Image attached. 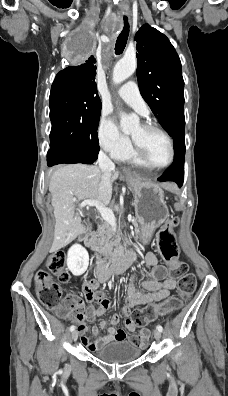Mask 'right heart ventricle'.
I'll return each mask as SVG.
<instances>
[{
  "mask_svg": "<svg viewBox=\"0 0 228 396\" xmlns=\"http://www.w3.org/2000/svg\"><path fill=\"white\" fill-rule=\"evenodd\" d=\"M122 160H128L136 165L142 166V164L134 156V153H132L131 151L125 157H123Z\"/></svg>",
  "mask_w": 228,
  "mask_h": 396,
  "instance_id": "1",
  "label": "right heart ventricle"
}]
</instances>
